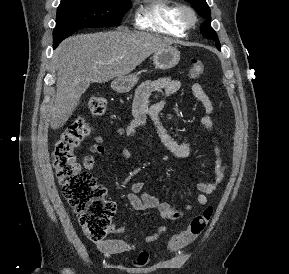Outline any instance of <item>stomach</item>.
I'll return each mask as SVG.
<instances>
[{
	"mask_svg": "<svg viewBox=\"0 0 289 274\" xmlns=\"http://www.w3.org/2000/svg\"><path fill=\"white\" fill-rule=\"evenodd\" d=\"M180 52L173 47H166L153 55V62L158 69H170L178 64ZM138 81L136 74L117 77L111 84L113 90L118 93L130 91Z\"/></svg>",
	"mask_w": 289,
	"mask_h": 274,
	"instance_id": "1",
	"label": "stomach"
}]
</instances>
